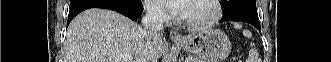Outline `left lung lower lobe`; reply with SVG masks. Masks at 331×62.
Wrapping results in <instances>:
<instances>
[{
    "mask_svg": "<svg viewBox=\"0 0 331 62\" xmlns=\"http://www.w3.org/2000/svg\"><path fill=\"white\" fill-rule=\"evenodd\" d=\"M224 21H238V22L248 23L260 31V21L258 18V14H252L245 11H237L234 13L224 15L223 18L221 19V22Z\"/></svg>",
    "mask_w": 331,
    "mask_h": 62,
    "instance_id": "0a47b994",
    "label": "left lung lower lobe"
}]
</instances>
